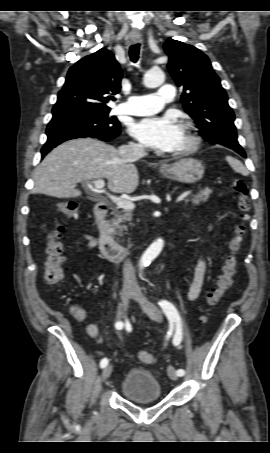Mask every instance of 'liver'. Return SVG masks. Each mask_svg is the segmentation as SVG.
Returning <instances> with one entry per match:
<instances>
[{
	"instance_id": "6515ba94",
	"label": "liver",
	"mask_w": 270,
	"mask_h": 453,
	"mask_svg": "<svg viewBox=\"0 0 270 453\" xmlns=\"http://www.w3.org/2000/svg\"><path fill=\"white\" fill-rule=\"evenodd\" d=\"M103 178L114 193L130 194L139 184L136 166L121 158L113 146L91 138L69 140L53 149L36 168L32 193L76 198L81 196L77 183Z\"/></svg>"
}]
</instances>
